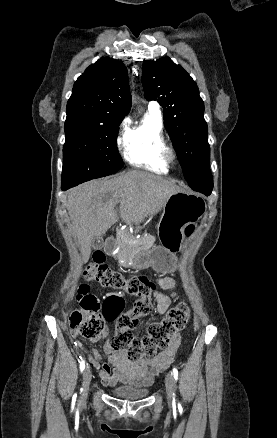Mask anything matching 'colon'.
<instances>
[{"instance_id":"1","label":"colon","mask_w":277,"mask_h":438,"mask_svg":"<svg viewBox=\"0 0 277 438\" xmlns=\"http://www.w3.org/2000/svg\"><path fill=\"white\" fill-rule=\"evenodd\" d=\"M192 231L193 226L187 227L188 234ZM92 260L93 263H89L84 271L87 280L136 299L133 306L128 311L119 313L118 319L113 322L119 330L111 337L112 346L125 352L131 361H155L156 352L167 349L171 338L187 325L188 306L179 303L168 310L164 319L148 325L145 334L135 335L130 329L135 326L138 318L154 310L151 300L155 289L153 281L145 274L124 275L112 270L106 265V256L102 252L95 253ZM77 293L81 297L80 302L86 317L82 312L74 311L70 317V331L74 334L81 333L90 339L104 334L105 320L101 318L96 296H90L91 286L82 283L78 286Z\"/></svg>"}]
</instances>
